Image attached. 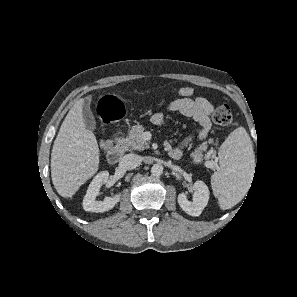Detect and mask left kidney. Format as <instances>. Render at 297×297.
<instances>
[{"instance_id": "1", "label": "left kidney", "mask_w": 297, "mask_h": 297, "mask_svg": "<svg viewBox=\"0 0 297 297\" xmlns=\"http://www.w3.org/2000/svg\"><path fill=\"white\" fill-rule=\"evenodd\" d=\"M194 189L192 202L188 201L184 193L179 194L177 199L184 212L191 216H199L209 201V189L203 181H196Z\"/></svg>"}]
</instances>
